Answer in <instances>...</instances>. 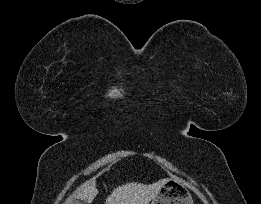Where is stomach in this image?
Wrapping results in <instances>:
<instances>
[{
  "label": "stomach",
  "instance_id": "obj_1",
  "mask_svg": "<svg viewBox=\"0 0 261 204\" xmlns=\"http://www.w3.org/2000/svg\"><path fill=\"white\" fill-rule=\"evenodd\" d=\"M151 204H194L185 183L177 178L168 179Z\"/></svg>",
  "mask_w": 261,
  "mask_h": 204
}]
</instances>
